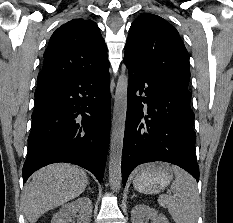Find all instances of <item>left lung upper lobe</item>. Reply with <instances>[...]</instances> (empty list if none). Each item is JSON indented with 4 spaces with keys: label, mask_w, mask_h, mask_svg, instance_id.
I'll return each mask as SVG.
<instances>
[{
    "label": "left lung upper lobe",
    "mask_w": 233,
    "mask_h": 223,
    "mask_svg": "<svg viewBox=\"0 0 233 223\" xmlns=\"http://www.w3.org/2000/svg\"><path fill=\"white\" fill-rule=\"evenodd\" d=\"M125 55L159 80L188 89L189 53L178 31L160 16L145 13L136 18L130 27Z\"/></svg>",
    "instance_id": "left-lung-upper-lobe-1"
}]
</instances>
